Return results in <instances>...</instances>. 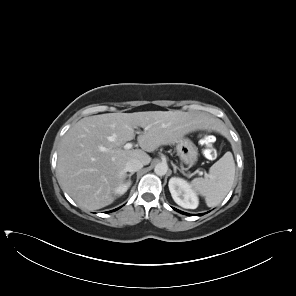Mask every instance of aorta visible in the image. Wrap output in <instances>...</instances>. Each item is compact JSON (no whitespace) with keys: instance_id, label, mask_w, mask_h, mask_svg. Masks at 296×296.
<instances>
[{"instance_id":"762f6f07","label":"aorta","mask_w":296,"mask_h":296,"mask_svg":"<svg viewBox=\"0 0 296 296\" xmlns=\"http://www.w3.org/2000/svg\"><path fill=\"white\" fill-rule=\"evenodd\" d=\"M168 166L166 163H158L155 168L154 172L158 176H164L167 173Z\"/></svg>"}]
</instances>
